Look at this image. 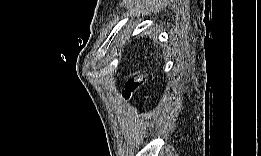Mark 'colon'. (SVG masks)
<instances>
[{"instance_id": "obj_1", "label": "colon", "mask_w": 261, "mask_h": 156, "mask_svg": "<svg viewBox=\"0 0 261 156\" xmlns=\"http://www.w3.org/2000/svg\"><path fill=\"white\" fill-rule=\"evenodd\" d=\"M147 83V79L143 76L131 77L125 84L123 91V98L130 100L134 97L135 93L144 87Z\"/></svg>"}]
</instances>
